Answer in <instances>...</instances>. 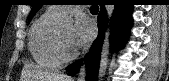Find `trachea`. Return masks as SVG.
<instances>
[{
    "label": "trachea",
    "mask_w": 169,
    "mask_h": 81,
    "mask_svg": "<svg viewBox=\"0 0 169 81\" xmlns=\"http://www.w3.org/2000/svg\"><path fill=\"white\" fill-rule=\"evenodd\" d=\"M90 9L91 10H98V6L96 4H93Z\"/></svg>",
    "instance_id": "3493384b"
}]
</instances>
